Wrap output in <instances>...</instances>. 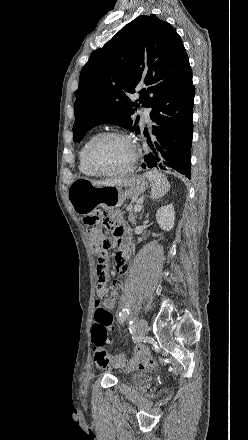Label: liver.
Masks as SVG:
<instances>
[{
    "label": "liver",
    "mask_w": 248,
    "mask_h": 440,
    "mask_svg": "<svg viewBox=\"0 0 248 440\" xmlns=\"http://www.w3.org/2000/svg\"><path fill=\"white\" fill-rule=\"evenodd\" d=\"M123 180H108V181H98L93 182L95 185H113L119 182H122Z\"/></svg>",
    "instance_id": "6515ba94"
}]
</instances>
